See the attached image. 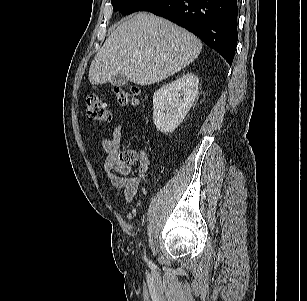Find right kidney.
<instances>
[{
    "mask_svg": "<svg viewBox=\"0 0 307 301\" xmlns=\"http://www.w3.org/2000/svg\"><path fill=\"white\" fill-rule=\"evenodd\" d=\"M198 83L196 75L187 73L154 92L153 122L160 132H173L183 121L196 98Z\"/></svg>",
    "mask_w": 307,
    "mask_h": 301,
    "instance_id": "ca27d5eb",
    "label": "right kidney"
}]
</instances>
